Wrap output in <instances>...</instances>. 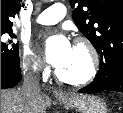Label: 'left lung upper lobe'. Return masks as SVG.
Instances as JSON below:
<instances>
[{
	"label": "left lung upper lobe",
	"mask_w": 123,
	"mask_h": 113,
	"mask_svg": "<svg viewBox=\"0 0 123 113\" xmlns=\"http://www.w3.org/2000/svg\"><path fill=\"white\" fill-rule=\"evenodd\" d=\"M70 4L76 26L100 54L98 75L108 80L123 64V0H70Z\"/></svg>",
	"instance_id": "1"
}]
</instances>
